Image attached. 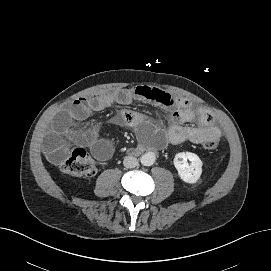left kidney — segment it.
Wrapping results in <instances>:
<instances>
[{
	"label": "left kidney",
	"mask_w": 271,
	"mask_h": 271,
	"mask_svg": "<svg viewBox=\"0 0 271 271\" xmlns=\"http://www.w3.org/2000/svg\"><path fill=\"white\" fill-rule=\"evenodd\" d=\"M190 162V164L188 163ZM179 177L186 183L194 184L202 174V161L191 152H180L174 158Z\"/></svg>",
	"instance_id": "1"
}]
</instances>
